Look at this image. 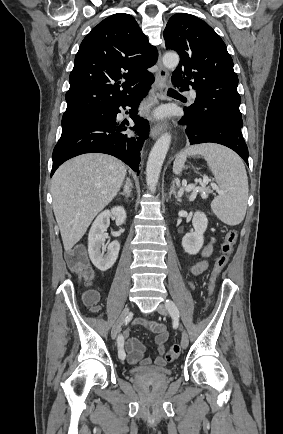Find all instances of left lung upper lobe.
Wrapping results in <instances>:
<instances>
[{
    "label": "left lung upper lobe",
    "mask_w": 283,
    "mask_h": 434,
    "mask_svg": "<svg viewBox=\"0 0 283 434\" xmlns=\"http://www.w3.org/2000/svg\"><path fill=\"white\" fill-rule=\"evenodd\" d=\"M164 39L166 49L180 55L172 82L187 90L190 85L197 93L195 103L184 110L199 115L205 109H217L241 117L238 76L220 36L203 20L177 13L169 19Z\"/></svg>",
    "instance_id": "5c2ea615"
}]
</instances>
